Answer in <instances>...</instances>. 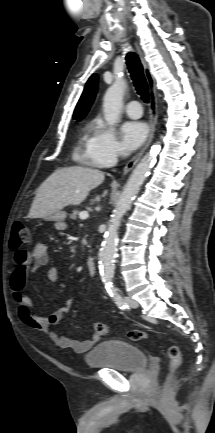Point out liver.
Segmentation results:
<instances>
[{
    "mask_svg": "<svg viewBox=\"0 0 215 433\" xmlns=\"http://www.w3.org/2000/svg\"><path fill=\"white\" fill-rule=\"evenodd\" d=\"M104 181V172L82 166L57 169L38 188L30 218H48L68 205L81 204Z\"/></svg>",
    "mask_w": 215,
    "mask_h": 433,
    "instance_id": "liver-1",
    "label": "liver"
}]
</instances>
